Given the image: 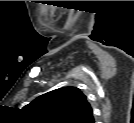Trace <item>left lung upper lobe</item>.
Returning a JSON list of instances; mask_svg holds the SVG:
<instances>
[{
	"label": "left lung upper lobe",
	"instance_id": "1",
	"mask_svg": "<svg viewBox=\"0 0 134 123\" xmlns=\"http://www.w3.org/2000/svg\"><path fill=\"white\" fill-rule=\"evenodd\" d=\"M41 120L55 123H94L86 96L76 87H63L33 100L26 106Z\"/></svg>",
	"mask_w": 134,
	"mask_h": 123
}]
</instances>
